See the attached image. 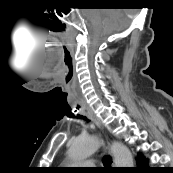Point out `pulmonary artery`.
<instances>
[{
  "label": "pulmonary artery",
  "mask_w": 173,
  "mask_h": 173,
  "mask_svg": "<svg viewBox=\"0 0 173 173\" xmlns=\"http://www.w3.org/2000/svg\"><path fill=\"white\" fill-rule=\"evenodd\" d=\"M81 164H84L85 167H90V166H93L94 165V163L91 162V161L82 162Z\"/></svg>",
  "instance_id": "obj_1"
}]
</instances>
